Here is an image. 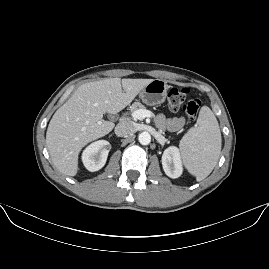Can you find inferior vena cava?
Listing matches in <instances>:
<instances>
[{"instance_id": "inferior-vena-cava-1", "label": "inferior vena cava", "mask_w": 269, "mask_h": 269, "mask_svg": "<svg viewBox=\"0 0 269 269\" xmlns=\"http://www.w3.org/2000/svg\"><path fill=\"white\" fill-rule=\"evenodd\" d=\"M137 131L135 123L132 121H123L117 124L115 127V134L118 137H124L131 135Z\"/></svg>"}]
</instances>
